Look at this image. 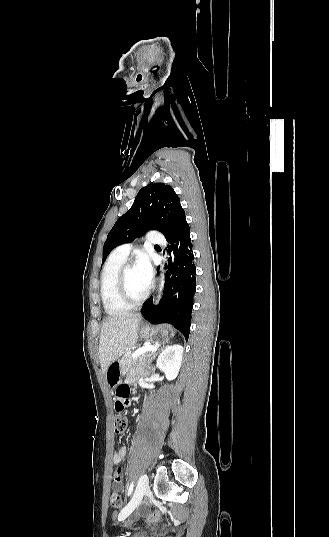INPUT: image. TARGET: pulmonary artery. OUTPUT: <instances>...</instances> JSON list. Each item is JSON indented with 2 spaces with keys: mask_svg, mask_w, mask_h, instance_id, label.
Segmentation results:
<instances>
[{
  "mask_svg": "<svg viewBox=\"0 0 329 537\" xmlns=\"http://www.w3.org/2000/svg\"><path fill=\"white\" fill-rule=\"evenodd\" d=\"M146 242L151 245H162L166 243L165 238L156 231H151L146 236ZM132 246L130 244H123L116 247L113 254L117 257L126 259L131 251Z\"/></svg>",
  "mask_w": 329,
  "mask_h": 537,
  "instance_id": "obj_1",
  "label": "pulmonary artery"
}]
</instances>
